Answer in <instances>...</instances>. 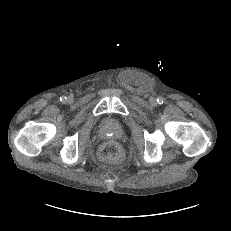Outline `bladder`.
Returning a JSON list of instances; mask_svg holds the SVG:
<instances>
[{
  "label": "bladder",
  "mask_w": 231,
  "mask_h": 231,
  "mask_svg": "<svg viewBox=\"0 0 231 231\" xmlns=\"http://www.w3.org/2000/svg\"><path fill=\"white\" fill-rule=\"evenodd\" d=\"M104 124H109V122L105 121Z\"/></svg>",
  "instance_id": "bladder-1"
}]
</instances>
